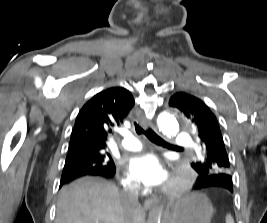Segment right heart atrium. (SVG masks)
<instances>
[{
  "label": "right heart atrium",
  "mask_w": 267,
  "mask_h": 223,
  "mask_svg": "<svg viewBox=\"0 0 267 223\" xmlns=\"http://www.w3.org/2000/svg\"><path fill=\"white\" fill-rule=\"evenodd\" d=\"M122 184L127 190L131 192H136L139 188L136 180L129 175H125L122 177Z\"/></svg>",
  "instance_id": "right-heart-atrium-1"
}]
</instances>
